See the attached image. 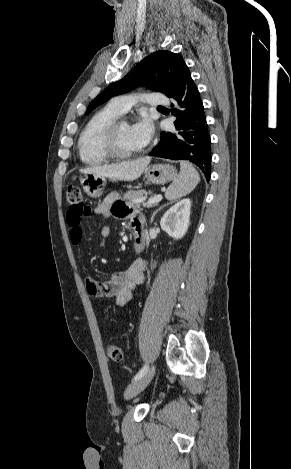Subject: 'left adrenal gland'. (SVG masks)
Returning a JSON list of instances; mask_svg holds the SVG:
<instances>
[{
  "instance_id": "left-adrenal-gland-1",
  "label": "left adrenal gland",
  "mask_w": 291,
  "mask_h": 469,
  "mask_svg": "<svg viewBox=\"0 0 291 469\" xmlns=\"http://www.w3.org/2000/svg\"><path fill=\"white\" fill-rule=\"evenodd\" d=\"M169 204H170V203L164 204V205L160 206L157 210H155V211L153 212L152 216H151L150 222H151V223L153 222L154 217H155V215L157 214L158 211H160L162 208H164L165 206H167V205H169Z\"/></svg>"
}]
</instances>
